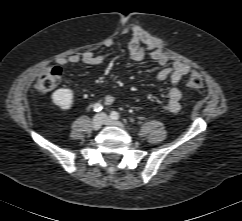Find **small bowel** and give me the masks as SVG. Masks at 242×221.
<instances>
[{"label":"small bowel","instance_id":"small-bowel-1","mask_svg":"<svg viewBox=\"0 0 242 221\" xmlns=\"http://www.w3.org/2000/svg\"><path fill=\"white\" fill-rule=\"evenodd\" d=\"M110 45V43H108ZM128 54L133 61L143 60L147 54L156 61L162 68L156 75L159 82L169 79L173 84H177L189 72V67L182 62H173L170 64L168 56L159 48L155 47L150 36L141 30H134L128 43ZM59 65H74L79 62L88 65H98L103 62V56L95 55L86 51L81 55L73 54L60 57L56 60ZM167 102L163 106L165 112L177 113L181 108L182 93L179 88L172 87L167 94ZM114 96L107 94L104 97V104L109 106L113 104Z\"/></svg>","mask_w":242,"mask_h":221}]
</instances>
